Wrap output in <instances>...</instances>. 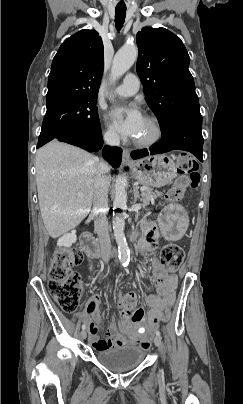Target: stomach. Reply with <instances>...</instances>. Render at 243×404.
I'll return each mask as SVG.
<instances>
[{
	"mask_svg": "<svg viewBox=\"0 0 243 404\" xmlns=\"http://www.w3.org/2000/svg\"><path fill=\"white\" fill-rule=\"evenodd\" d=\"M134 178L142 185L162 187L177 176L174 160L166 155L148 156L131 164ZM159 224L166 238L177 240L185 233L189 219L185 210L179 205H169L159 216Z\"/></svg>",
	"mask_w": 243,
	"mask_h": 404,
	"instance_id": "stomach-1",
	"label": "stomach"
}]
</instances>
